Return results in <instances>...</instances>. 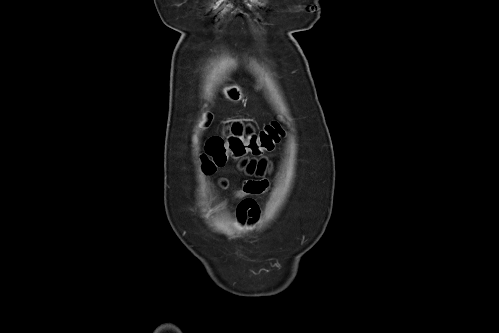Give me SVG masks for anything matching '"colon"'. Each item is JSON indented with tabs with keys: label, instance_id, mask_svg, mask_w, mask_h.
I'll return each mask as SVG.
<instances>
[{
	"label": "colon",
	"instance_id": "obj_1",
	"mask_svg": "<svg viewBox=\"0 0 499 333\" xmlns=\"http://www.w3.org/2000/svg\"><path fill=\"white\" fill-rule=\"evenodd\" d=\"M282 129L278 122L266 125L262 130L250 135H230L227 138L214 136L210 138L202 155L204 170L213 172L222 166L229 158H240L251 153L261 154L270 151L280 140Z\"/></svg>",
	"mask_w": 499,
	"mask_h": 333
}]
</instances>
